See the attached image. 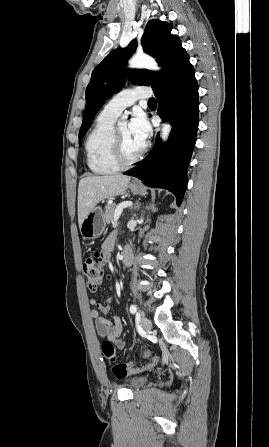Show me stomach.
I'll return each instance as SVG.
<instances>
[{"instance_id": "obj_1", "label": "stomach", "mask_w": 269, "mask_h": 447, "mask_svg": "<svg viewBox=\"0 0 269 447\" xmlns=\"http://www.w3.org/2000/svg\"><path fill=\"white\" fill-rule=\"evenodd\" d=\"M129 190H131L133 194H139L141 186L130 184ZM105 225L106 220L104 212L100 206H97V208H93L90 214L84 218L80 227V233L85 239H95V237H99V235L103 233Z\"/></svg>"}]
</instances>
